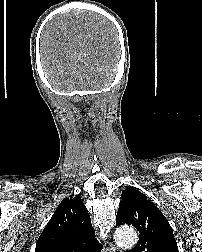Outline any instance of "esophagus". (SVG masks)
<instances>
[{
  "mask_svg": "<svg viewBox=\"0 0 202 252\" xmlns=\"http://www.w3.org/2000/svg\"><path fill=\"white\" fill-rule=\"evenodd\" d=\"M110 247H111V252H121L118 248H116L112 244H110Z\"/></svg>",
  "mask_w": 202,
  "mask_h": 252,
  "instance_id": "34e87169",
  "label": "esophagus"
}]
</instances>
